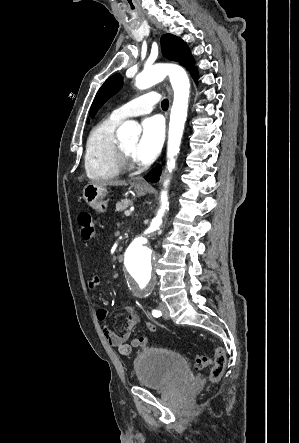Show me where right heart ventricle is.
<instances>
[{
	"label": "right heart ventricle",
	"instance_id": "right-heart-ventricle-1",
	"mask_svg": "<svg viewBox=\"0 0 299 443\" xmlns=\"http://www.w3.org/2000/svg\"><path fill=\"white\" fill-rule=\"evenodd\" d=\"M121 120L112 116L102 120L90 132L85 149L84 166L92 180L116 178L121 168L117 162L116 128Z\"/></svg>",
	"mask_w": 299,
	"mask_h": 443
}]
</instances>
